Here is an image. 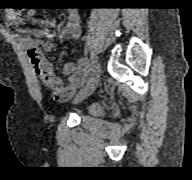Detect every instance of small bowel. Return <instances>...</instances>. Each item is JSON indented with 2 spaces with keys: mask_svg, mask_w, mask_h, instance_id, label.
Listing matches in <instances>:
<instances>
[{
  "mask_svg": "<svg viewBox=\"0 0 192 180\" xmlns=\"http://www.w3.org/2000/svg\"><path fill=\"white\" fill-rule=\"evenodd\" d=\"M33 10H28L26 15L32 16ZM25 13L22 10L16 11L12 16L14 25H21L24 22ZM81 16L78 11L71 10L68 21L62 29V35L68 38H79L81 35ZM56 24L54 19L40 23L37 28L30 29L28 36L22 40L27 50L32 67L42 83L52 91L58 101L70 99L86 81L90 70L86 58H80L76 62H66L63 65V72L68 77L63 82L54 72L52 64L45 58L43 51L50 52L54 48L53 36L50 27Z\"/></svg>",
  "mask_w": 192,
  "mask_h": 180,
  "instance_id": "c3829d8e",
  "label": "small bowel"
}]
</instances>
